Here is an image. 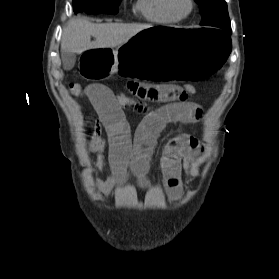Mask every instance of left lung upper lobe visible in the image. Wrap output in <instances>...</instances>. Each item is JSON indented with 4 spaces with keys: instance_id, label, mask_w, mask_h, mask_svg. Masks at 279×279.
<instances>
[{
    "instance_id": "1",
    "label": "left lung upper lobe",
    "mask_w": 279,
    "mask_h": 279,
    "mask_svg": "<svg viewBox=\"0 0 279 279\" xmlns=\"http://www.w3.org/2000/svg\"><path fill=\"white\" fill-rule=\"evenodd\" d=\"M200 7L202 22L200 25L219 30L231 28L225 0H195Z\"/></svg>"
}]
</instances>
